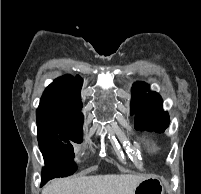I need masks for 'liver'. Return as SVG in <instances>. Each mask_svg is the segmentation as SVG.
I'll return each instance as SVG.
<instances>
[{
  "instance_id": "1",
  "label": "liver",
  "mask_w": 201,
  "mask_h": 194,
  "mask_svg": "<svg viewBox=\"0 0 201 194\" xmlns=\"http://www.w3.org/2000/svg\"><path fill=\"white\" fill-rule=\"evenodd\" d=\"M142 175L107 174L54 179L42 194H133Z\"/></svg>"
}]
</instances>
